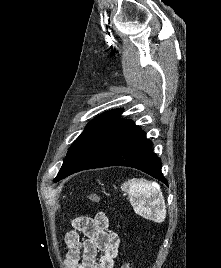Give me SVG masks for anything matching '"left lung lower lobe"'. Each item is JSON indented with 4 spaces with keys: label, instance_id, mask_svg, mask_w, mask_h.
Wrapping results in <instances>:
<instances>
[{
    "label": "left lung lower lobe",
    "instance_id": "obj_1",
    "mask_svg": "<svg viewBox=\"0 0 221 268\" xmlns=\"http://www.w3.org/2000/svg\"><path fill=\"white\" fill-rule=\"evenodd\" d=\"M152 142L133 121L118 119L105 128L64 171L59 180L85 169L108 166L137 168L168 185L161 172V159Z\"/></svg>",
    "mask_w": 221,
    "mask_h": 268
}]
</instances>
